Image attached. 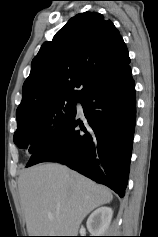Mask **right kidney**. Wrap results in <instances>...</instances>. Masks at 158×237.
I'll use <instances>...</instances> for the list:
<instances>
[{
    "instance_id": "right-kidney-1",
    "label": "right kidney",
    "mask_w": 158,
    "mask_h": 237,
    "mask_svg": "<svg viewBox=\"0 0 158 237\" xmlns=\"http://www.w3.org/2000/svg\"><path fill=\"white\" fill-rule=\"evenodd\" d=\"M112 216L113 210L107 206H102L92 212L86 223L92 236H103L110 226Z\"/></svg>"
}]
</instances>
